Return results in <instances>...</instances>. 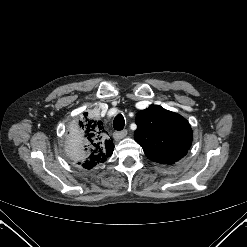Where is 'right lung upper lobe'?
Wrapping results in <instances>:
<instances>
[{"label": "right lung upper lobe", "mask_w": 247, "mask_h": 247, "mask_svg": "<svg viewBox=\"0 0 247 247\" xmlns=\"http://www.w3.org/2000/svg\"><path fill=\"white\" fill-rule=\"evenodd\" d=\"M79 121L80 137L75 145V159L86 169H92L100 163H104L113 153L112 140L106 138V130L99 120L87 117Z\"/></svg>", "instance_id": "obj_1"}]
</instances>
